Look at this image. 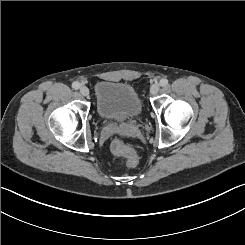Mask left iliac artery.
<instances>
[{"instance_id": "44dca946", "label": "left iliac artery", "mask_w": 245, "mask_h": 245, "mask_svg": "<svg viewBox=\"0 0 245 245\" xmlns=\"http://www.w3.org/2000/svg\"><path fill=\"white\" fill-rule=\"evenodd\" d=\"M160 85L163 86V87L167 86L168 85V80L166 78L161 79L160 80Z\"/></svg>"}]
</instances>
